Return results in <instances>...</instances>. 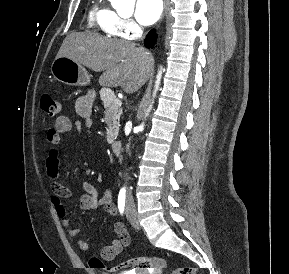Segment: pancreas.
Here are the masks:
<instances>
[{
	"label": "pancreas",
	"instance_id": "pancreas-1",
	"mask_svg": "<svg viewBox=\"0 0 289 274\" xmlns=\"http://www.w3.org/2000/svg\"><path fill=\"white\" fill-rule=\"evenodd\" d=\"M100 97L102 104L104 105L106 111H105V117L108 116V113L111 112V118L108 122V128H107V141L108 143L114 142V140L118 136L119 131V118L121 114V104L116 103V96L113 91L110 89H102L100 91Z\"/></svg>",
	"mask_w": 289,
	"mask_h": 274
}]
</instances>
